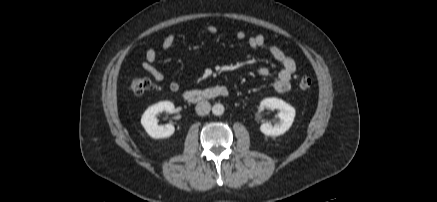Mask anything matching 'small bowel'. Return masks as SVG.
Instances as JSON below:
<instances>
[{"instance_id":"small-bowel-1","label":"small bowel","mask_w":437,"mask_h":202,"mask_svg":"<svg viewBox=\"0 0 437 202\" xmlns=\"http://www.w3.org/2000/svg\"><path fill=\"white\" fill-rule=\"evenodd\" d=\"M210 34L217 32V27L209 25L206 28ZM237 40H244L246 34L243 31H238L235 34ZM175 42L174 34H168L162 41L161 48L166 51L169 50ZM247 43L251 49H266L274 60L279 64L280 69L276 80L274 81V89L279 93H285L291 88V79L296 71V63L289 55H287L282 49L275 45H269L266 42V38L262 34L251 36L247 39ZM158 58V53L154 48H149L145 52L144 59L141 63L142 68L156 81L162 82L164 80V74L156 67L155 63ZM258 74L262 77H267L271 74V71L267 67H261L258 70ZM170 90L174 93H178L181 90V86L178 82H172L169 86Z\"/></svg>"}]
</instances>
